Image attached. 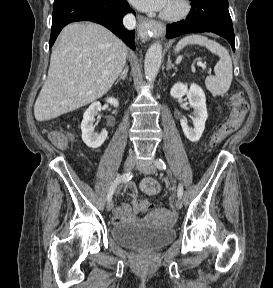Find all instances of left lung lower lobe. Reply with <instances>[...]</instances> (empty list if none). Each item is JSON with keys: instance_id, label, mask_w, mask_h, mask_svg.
<instances>
[{"instance_id": "obj_1", "label": "left lung lower lobe", "mask_w": 273, "mask_h": 288, "mask_svg": "<svg viewBox=\"0 0 273 288\" xmlns=\"http://www.w3.org/2000/svg\"><path fill=\"white\" fill-rule=\"evenodd\" d=\"M192 8L185 20L168 24V39L186 33L213 32L224 37L235 51V36L228 0H190Z\"/></svg>"}]
</instances>
